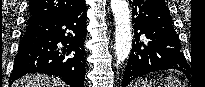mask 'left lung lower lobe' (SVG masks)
<instances>
[{"label":"left lung lower lobe","mask_w":205,"mask_h":87,"mask_svg":"<svg viewBox=\"0 0 205 87\" xmlns=\"http://www.w3.org/2000/svg\"><path fill=\"white\" fill-rule=\"evenodd\" d=\"M134 43L122 87L153 71L177 69L188 74L178 35L165 0H129Z\"/></svg>","instance_id":"0a47b994"}]
</instances>
